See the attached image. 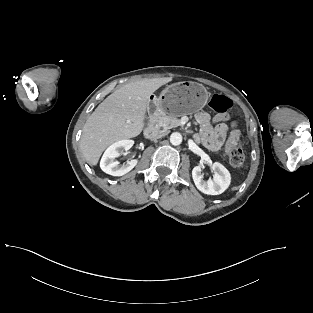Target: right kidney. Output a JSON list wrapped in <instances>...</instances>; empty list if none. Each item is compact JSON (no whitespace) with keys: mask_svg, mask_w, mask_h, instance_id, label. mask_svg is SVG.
<instances>
[{"mask_svg":"<svg viewBox=\"0 0 313 313\" xmlns=\"http://www.w3.org/2000/svg\"><path fill=\"white\" fill-rule=\"evenodd\" d=\"M133 144V140L125 139L110 145L100 161L102 171L112 176H122L131 171L137 165V159H132L127 161L126 164L120 165L118 161H115V158L119 157L123 151L129 150Z\"/></svg>","mask_w":313,"mask_h":313,"instance_id":"ca27d5eb","label":"right kidney"}]
</instances>
